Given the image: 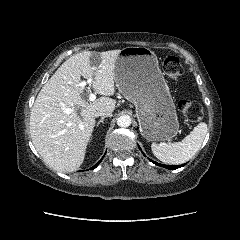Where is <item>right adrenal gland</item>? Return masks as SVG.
<instances>
[{
	"instance_id": "right-adrenal-gland-1",
	"label": "right adrenal gland",
	"mask_w": 240,
	"mask_h": 240,
	"mask_svg": "<svg viewBox=\"0 0 240 240\" xmlns=\"http://www.w3.org/2000/svg\"><path fill=\"white\" fill-rule=\"evenodd\" d=\"M105 119V116L101 117V119L97 122L96 126L98 127L100 123H103Z\"/></svg>"
}]
</instances>
